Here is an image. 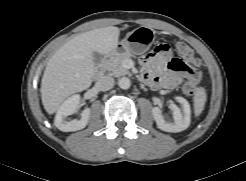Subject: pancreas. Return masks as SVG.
<instances>
[{
    "label": "pancreas",
    "instance_id": "cf45deb5",
    "mask_svg": "<svg viewBox=\"0 0 246 181\" xmlns=\"http://www.w3.org/2000/svg\"><path fill=\"white\" fill-rule=\"evenodd\" d=\"M131 58L130 53H123L114 57H111L104 64V70L108 71L111 75L119 77L129 74V71L123 67V62Z\"/></svg>",
    "mask_w": 246,
    "mask_h": 181
}]
</instances>
